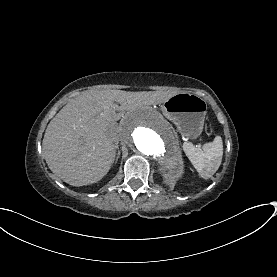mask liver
Here are the masks:
<instances>
[{
	"instance_id": "obj_1",
	"label": "liver",
	"mask_w": 277,
	"mask_h": 277,
	"mask_svg": "<svg viewBox=\"0 0 277 277\" xmlns=\"http://www.w3.org/2000/svg\"><path fill=\"white\" fill-rule=\"evenodd\" d=\"M172 96L160 91H86L65 105L48 124L42 149L50 170L72 186L103 179L113 167L122 140L116 109L137 111ZM115 103L120 104L118 107ZM121 118L120 124L117 119Z\"/></svg>"
}]
</instances>
